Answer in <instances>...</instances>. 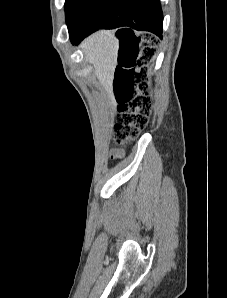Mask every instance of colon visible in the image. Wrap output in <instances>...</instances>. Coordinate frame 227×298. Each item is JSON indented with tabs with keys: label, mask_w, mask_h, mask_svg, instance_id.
Masks as SVG:
<instances>
[{
	"label": "colon",
	"mask_w": 227,
	"mask_h": 298,
	"mask_svg": "<svg viewBox=\"0 0 227 298\" xmlns=\"http://www.w3.org/2000/svg\"><path fill=\"white\" fill-rule=\"evenodd\" d=\"M157 40L146 36L140 50L125 56L117 71L114 92L119 103L120 118L116 127V142L126 144L149 123L153 98L146 64L154 54Z\"/></svg>",
	"instance_id": "colon-1"
}]
</instances>
